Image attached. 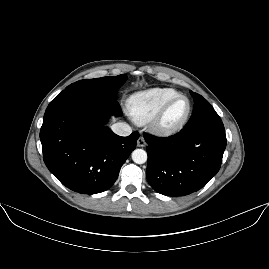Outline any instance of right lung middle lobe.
I'll list each match as a JSON object with an SVG mask.
<instances>
[{
  "label": "right lung middle lobe",
  "instance_id": "right-lung-middle-lobe-1",
  "mask_svg": "<svg viewBox=\"0 0 269 269\" xmlns=\"http://www.w3.org/2000/svg\"><path fill=\"white\" fill-rule=\"evenodd\" d=\"M127 80V76L122 74L118 76H106L96 79H85L70 84L64 92L81 91L93 95L113 97L120 86Z\"/></svg>",
  "mask_w": 269,
  "mask_h": 269
}]
</instances>
